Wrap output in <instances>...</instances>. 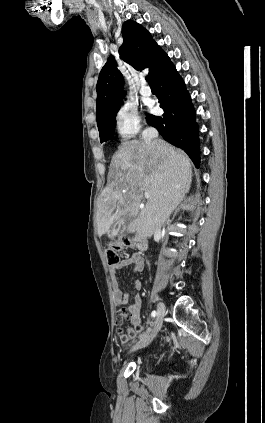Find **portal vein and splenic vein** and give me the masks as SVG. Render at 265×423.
Masks as SVG:
<instances>
[{"instance_id":"1","label":"portal vein and splenic vein","mask_w":265,"mask_h":423,"mask_svg":"<svg viewBox=\"0 0 265 423\" xmlns=\"http://www.w3.org/2000/svg\"><path fill=\"white\" fill-rule=\"evenodd\" d=\"M145 197L149 198V193L145 192ZM141 207H143V206H141Z\"/></svg>"}]
</instances>
